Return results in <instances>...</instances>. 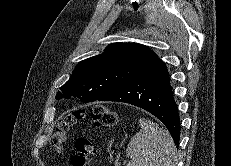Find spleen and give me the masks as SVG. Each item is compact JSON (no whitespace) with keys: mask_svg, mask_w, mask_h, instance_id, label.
I'll return each instance as SVG.
<instances>
[{"mask_svg":"<svg viewBox=\"0 0 231 166\" xmlns=\"http://www.w3.org/2000/svg\"><path fill=\"white\" fill-rule=\"evenodd\" d=\"M139 125L126 149L131 166H176V147L169 132L145 118L139 119Z\"/></svg>","mask_w":231,"mask_h":166,"instance_id":"1","label":"spleen"}]
</instances>
